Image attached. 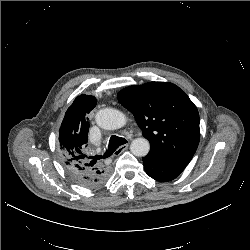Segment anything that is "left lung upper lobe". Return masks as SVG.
Instances as JSON below:
<instances>
[{
    "label": "left lung upper lobe",
    "instance_id": "1",
    "mask_svg": "<svg viewBox=\"0 0 250 250\" xmlns=\"http://www.w3.org/2000/svg\"><path fill=\"white\" fill-rule=\"evenodd\" d=\"M118 100L149 140L148 155L168 163L191 161L200 139L199 113L184 91L172 83L149 82L122 89Z\"/></svg>",
    "mask_w": 250,
    "mask_h": 250
}]
</instances>
